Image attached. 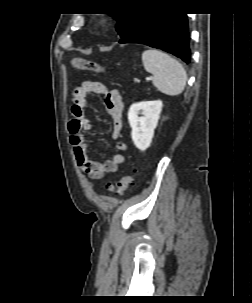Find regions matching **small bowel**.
Returning a JSON list of instances; mask_svg holds the SVG:
<instances>
[{
	"instance_id": "1",
	"label": "small bowel",
	"mask_w": 252,
	"mask_h": 303,
	"mask_svg": "<svg viewBox=\"0 0 252 303\" xmlns=\"http://www.w3.org/2000/svg\"><path fill=\"white\" fill-rule=\"evenodd\" d=\"M97 95L104 98L108 115L112 119V139L115 141V154L103 163H97L89 158V143L85 141L82 132L92 129L91 121L86 117L84 106L89 95ZM72 113L75 121L71 125V144L77 164L81 171L94 180H100L106 174L115 172L125 162L124 153L128 145L120 139V131L123 127V105L121 96L116 89H110L106 85L85 81L80 84L73 93Z\"/></svg>"
}]
</instances>
